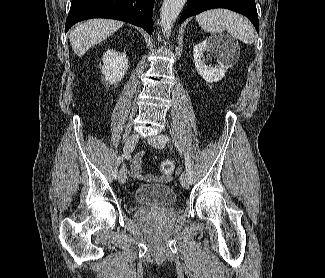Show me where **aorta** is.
I'll return each instance as SVG.
<instances>
[{
    "mask_svg": "<svg viewBox=\"0 0 325 278\" xmlns=\"http://www.w3.org/2000/svg\"><path fill=\"white\" fill-rule=\"evenodd\" d=\"M186 0H164L161 7V28L167 37L170 35L174 21L182 11Z\"/></svg>",
    "mask_w": 325,
    "mask_h": 278,
    "instance_id": "1",
    "label": "aorta"
}]
</instances>
